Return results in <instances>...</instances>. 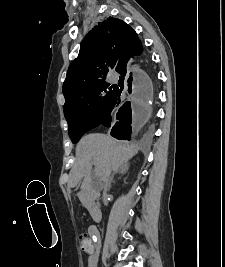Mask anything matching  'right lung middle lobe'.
<instances>
[{"instance_id": "1", "label": "right lung middle lobe", "mask_w": 225, "mask_h": 267, "mask_svg": "<svg viewBox=\"0 0 225 267\" xmlns=\"http://www.w3.org/2000/svg\"><path fill=\"white\" fill-rule=\"evenodd\" d=\"M117 86L105 80L89 84L65 99L64 115L73 143L90 129L96 127L108 110Z\"/></svg>"}]
</instances>
